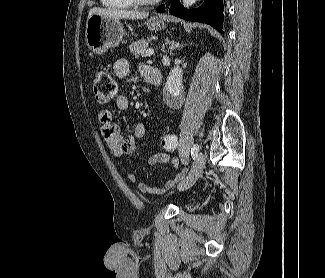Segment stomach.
<instances>
[{
    "label": "stomach",
    "instance_id": "stomach-1",
    "mask_svg": "<svg viewBox=\"0 0 325 278\" xmlns=\"http://www.w3.org/2000/svg\"><path fill=\"white\" fill-rule=\"evenodd\" d=\"M146 24L151 31H159L165 26L164 20L157 16L151 17ZM123 36L124 28L119 19L93 14L87 20L85 41L94 54L101 55L119 45Z\"/></svg>",
    "mask_w": 325,
    "mask_h": 278
}]
</instances>
